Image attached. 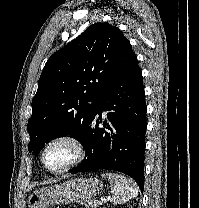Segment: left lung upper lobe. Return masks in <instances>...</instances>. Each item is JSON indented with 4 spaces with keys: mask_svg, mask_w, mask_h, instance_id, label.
Here are the masks:
<instances>
[{
    "mask_svg": "<svg viewBox=\"0 0 199 208\" xmlns=\"http://www.w3.org/2000/svg\"><path fill=\"white\" fill-rule=\"evenodd\" d=\"M135 56L115 26L95 23L53 54L39 78L28 121L29 152L67 134L83 144L103 91Z\"/></svg>",
    "mask_w": 199,
    "mask_h": 208,
    "instance_id": "5c2ea615",
    "label": "left lung upper lobe"
}]
</instances>
